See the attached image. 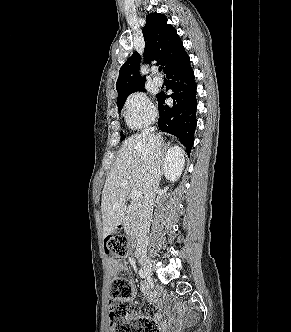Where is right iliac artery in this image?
I'll use <instances>...</instances> for the list:
<instances>
[{
	"instance_id": "obj_1",
	"label": "right iliac artery",
	"mask_w": 291,
	"mask_h": 332,
	"mask_svg": "<svg viewBox=\"0 0 291 332\" xmlns=\"http://www.w3.org/2000/svg\"><path fill=\"white\" fill-rule=\"evenodd\" d=\"M139 275H140L141 278H145L146 273L142 269H140L139 270Z\"/></svg>"
}]
</instances>
